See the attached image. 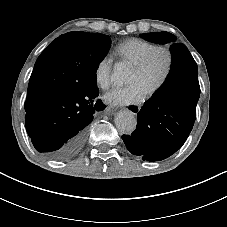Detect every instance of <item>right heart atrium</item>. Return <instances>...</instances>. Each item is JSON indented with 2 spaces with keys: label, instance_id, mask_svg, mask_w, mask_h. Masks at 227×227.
I'll use <instances>...</instances> for the list:
<instances>
[{
  "label": "right heart atrium",
  "instance_id": "obj_1",
  "mask_svg": "<svg viewBox=\"0 0 227 227\" xmlns=\"http://www.w3.org/2000/svg\"><path fill=\"white\" fill-rule=\"evenodd\" d=\"M94 78L98 88L106 90L112 80V59L109 56L103 57L96 65Z\"/></svg>",
  "mask_w": 227,
  "mask_h": 227
}]
</instances>
